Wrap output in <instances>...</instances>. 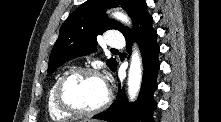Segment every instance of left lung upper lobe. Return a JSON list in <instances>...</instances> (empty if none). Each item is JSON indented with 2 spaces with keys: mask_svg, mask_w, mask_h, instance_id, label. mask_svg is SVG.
<instances>
[{
  "mask_svg": "<svg viewBox=\"0 0 221 122\" xmlns=\"http://www.w3.org/2000/svg\"><path fill=\"white\" fill-rule=\"evenodd\" d=\"M138 0H87L74 11L60 28L59 37L49 58L48 72H54L63 63L95 51L97 35L109 29L127 30L121 23L108 19L107 8L122 7L130 16ZM111 70L117 67L114 58L107 60Z\"/></svg>",
  "mask_w": 221,
  "mask_h": 122,
  "instance_id": "obj_1",
  "label": "left lung upper lobe"
}]
</instances>
